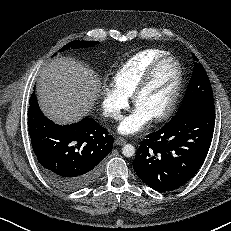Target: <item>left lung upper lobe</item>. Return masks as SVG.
I'll use <instances>...</instances> for the list:
<instances>
[{"mask_svg": "<svg viewBox=\"0 0 231 231\" xmlns=\"http://www.w3.org/2000/svg\"><path fill=\"white\" fill-rule=\"evenodd\" d=\"M193 74L186 91L185 98L178 109L176 115L191 108H214V98L209 78L206 71L198 59L193 55ZM175 115V116H176Z\"/></svg>", "mask_w": 231, "mask_h": 231, "instance_id": "obj_1", "label": "left lung upper lobe"}]
</instances>
